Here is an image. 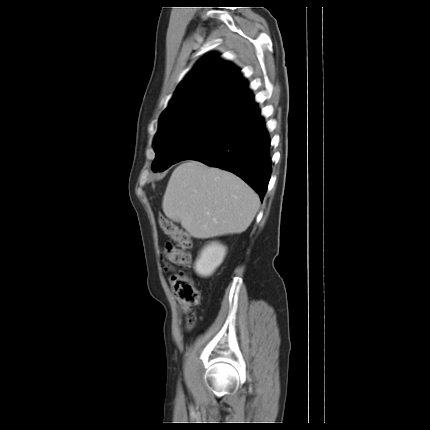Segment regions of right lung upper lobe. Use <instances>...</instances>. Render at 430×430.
Returning <instances> with one entry per match:
<instances>
[{"mask_svg": "<svg viewBox=\"0 0 430 430\" xmlns=\"http://www.w3.org/2000/svg\"><path fill=\"white\" fill-rule=\"evenodd\" d=\"M247 87L236 67L216 54L207 55L179 84L161 117L210 100L225 101L241 116L255 105L254 97L245 91Z\"/></svg>", "mask_w": 430, "mask_h": 430, "instance_id": "1", "label": "right lung upper lobe"}]
</instances>
